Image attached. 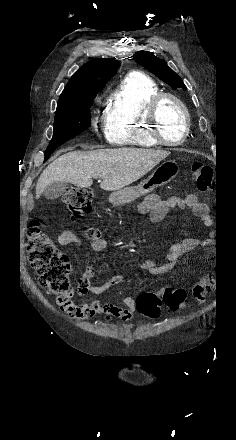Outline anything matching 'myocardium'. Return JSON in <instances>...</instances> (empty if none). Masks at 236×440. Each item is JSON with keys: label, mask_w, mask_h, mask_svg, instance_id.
Returning <instances> with one entry per match:
<instances>
[{"label": "myocardium", "mask_w": 236, "mask_h": 440, "mask_svg": "<svg viewBox=\"0 0 236 440\" xmlns=\"http://www.w3.org/2000/svg\"><path fill=\"white\" fill-rule=\"evenodd\" d=\"M167 99L174 101L180 107V109L182 110L183 115H184L185 126H184L183 135L180 139L175 140V141L166 139L165 136L163 135L162 130H161V124H160V119H159V109H160L162 103ZM146 120L149 125L150 135L155 141L158 142V144L165 145V146L180 145V144L184 143L189 136L190 126H191V118H190L189 110H188L187 106L185 105V103L177 95H175L173 93L159 92L158 94H156L149 101V103L147 105Z\"/></svg>", "instance_id": "myocardium-1"}]
</instances>
